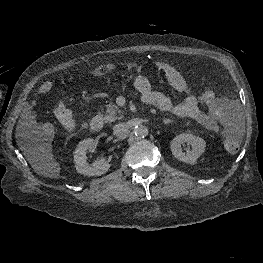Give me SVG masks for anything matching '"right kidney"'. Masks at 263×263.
<instances>
[{
    "label": "right kidney",
    "mask_w": 263,
    "mask_h": 263,
    "mask_svg": "<svg viewBox=\"0 0 263 263\" xmlns=\"http://www.w3.org/2000/svg\"><path fill=\"white\" fill-rule=\"evenodd\" d=\"M93 148H95V141L91 138L84 139L77 145L74 152V163L78 173L87 176H101L109 170L110 164L106 160L95 161L91 165L87 163L86 151Z\"/></svg>",
    "instance_id": "right-kidney-1"
}]
</instances>
